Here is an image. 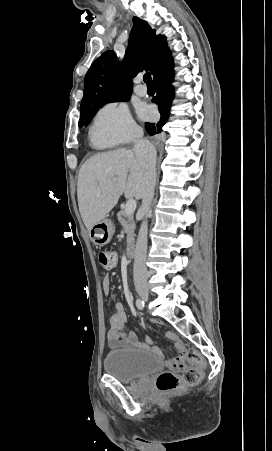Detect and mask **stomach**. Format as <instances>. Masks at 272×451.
Listing matches in <instances>:
<instances>
[{
    "mask_svg": "<svg viewBox=\"0 0 272 451\" xmlns=\"http://www.w3.org/2000/svg\"><path fill=\"white\" fill-rule=\"evenodd\" d=\"M115 229L111 222V220H108V218H103V220H100V222H96L91 229H89V237L95 245H106V243H109L110 239H112V235L114 233Z\"/></svg>",
    "mask_w": 272,
    "mask_h": 451,
    "instance_id": "stomach-1",
    "label": "stomach"
}]
</instances>
